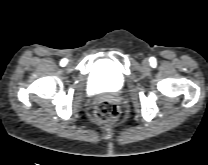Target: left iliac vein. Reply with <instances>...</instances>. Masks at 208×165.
<instances>
[{"instance_id": "1", "label": "left iliac vein", "mask_w": 208, "mask_h": 165, "mask_svg": "<svg viewBox=\"0 0 208 165\" xmlns=\"http://www.w3.org/2000/svg\"><path fill=\"white\" fill-rule=\"evenodd\" d=\"M143 65H144L145 67L149 66V60H148V59H144V60H143Z\"/></svg>"}]
</instances>
